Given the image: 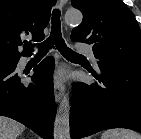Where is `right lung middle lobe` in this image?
Masks as SVG:
<instances>
[{
  "instance_id": "obj_1",
  "label": "right lung middle lobe",
  "mask_w": 141,
  "mask_h": 139,
  "mask_svg": "<svg viewBox=\"0 0 141 139\" xmlns=\"http://www.w3.org/2000/svg\"><path fill=\"white\" fill-rule=\"evenodd\" d=\"M19 59H12L6 57H0V68H8L16 65Z\"/></svg>"
}]
</instances>
